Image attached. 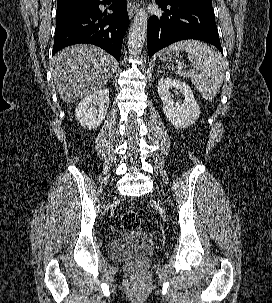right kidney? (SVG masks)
<instances>
[{
    "instance_id": "1",
    "label": "right kidney",
    "mask_w": 272,
    "mask_h": 303,
    "mask_svg": "<svg viewBox=\"0 0 272 303\" xmlns=\"http://www.w3.org/2000/svg\"><path fill=\"white\" fill-rule=\"evenodd\" d=\"M98 106V107H95ZM109 107V91L102 89L85 97L75 109L76 120L84 128L94 129L105 119Z\"/></svg>"
}]
</instances>
